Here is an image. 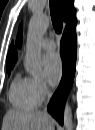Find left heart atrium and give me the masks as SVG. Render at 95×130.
I'll return each instance as SVG.
<instances>
[{
  "mask_svg": "<svg viewBox=\"0 0 95 130\" xmlns=\"http://www.w3.org/2000/svg\"><path fill=\"white\" fill-rule=\"evenodd\" d=\"M44 73L52 85L58 83L62 74V61L57 53H49L43 59Z\"/></svg>",
  "mask_w": 95,
  "mask_h": 130,
  "instance_id": "1",
  "label": "left heart atrium"
}]
</instances>
